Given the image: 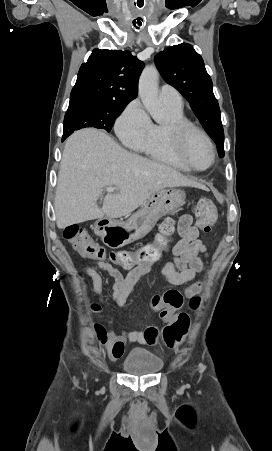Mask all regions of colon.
<instances>
[{
    "mask_svg": "<svg viewBox=\"0 0 272 451\" xmlns=\"http://www.w3.org/2000/svg\"><path fill=\"white\" fill-rule=\"evenodd\" d=\"M199 207L204 212L205 218L198 221L197 228L203 233H210L218 216L216 204L211 197L204 195L200 198ZM154 236L157 239L156 241H150L135 251L111 252L110 249H100L98 245L89 242L85 230L77 223L68 224L63 231V238L73 244L74 248L78 250L79 256H92L94 254L99 259L110 258L116 264L128 268L157 264L163 255L170 250L164 237L170 238L172 236L170 231L164 233L163 230H156ZM87 263L90 265L92 262L89 260ZM187 304L194 313L200 310L198 306L200 301L197 298H189ZM188 326L189 317L184 313L165 323L163 327L151 326L149 328V348H158L163 343L170 350L176 349L182 337L188 332ZM93 331L97 340L101 344H105L107 341L105 325L95 322Z\"/></svg>",
    "mask_w": 272,
    "mask_h": 451,
    "instance_id": "obj_1",
    "label": "colon"
}]
</instances>
